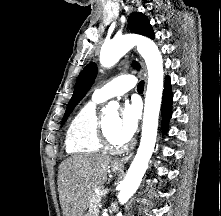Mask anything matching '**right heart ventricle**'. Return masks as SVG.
<instances>
[{
  "label": "right heart ventricle",
  "mask_w": 221,
  "mask_h": 216,
  "mask_svg": "<svg viewBox=\"0 0 221 216\" xmlns=\"http://www.w3.org/2000/svg\"><path fill=\"white\" fill-rule=\"evenodd\" d=\"M99 102H87L75 115L66 133V150L72 154H93L100 152V119L96 112Z\"/></svg>",
  "instance_id": "1"
}]
</instances>
